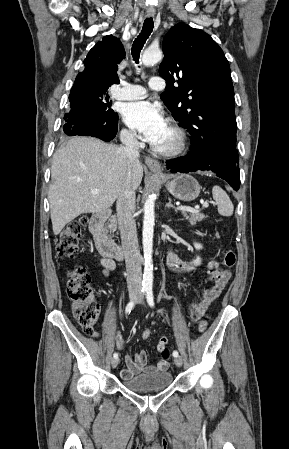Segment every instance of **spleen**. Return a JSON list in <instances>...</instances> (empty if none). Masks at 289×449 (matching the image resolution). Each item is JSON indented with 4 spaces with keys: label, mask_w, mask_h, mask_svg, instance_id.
I'll list each match as a JSON object with an SVG mask.
<instances>
[{
    "label": "spleen",
    "mask_w": 289,
    "mask_h": 449,
    "mask_svg": "<svg viewBox=\"0 0 289 449\" xmlns=\"http://www.w3.org/2000/svg\"><path fill=\"white\" fill-rule=\"evenodd\" d=\"M213 199L217 204L218 213L222 216H232L234 206L227 193L219 186L212 189Z\"/></svg>",
    "instance_id": "obj_1"
}]
</instances>
